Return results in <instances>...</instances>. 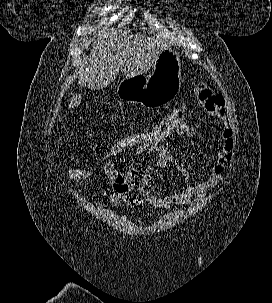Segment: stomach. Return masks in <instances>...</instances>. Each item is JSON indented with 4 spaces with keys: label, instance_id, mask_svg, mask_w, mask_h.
<instances>
[{
    "label": "stomach",
    "instance_id": "obj_1",
    "mask_svg": "<svg viewBox=\"0 0 272 303\" xmlns=\"http://www.w3.org/2000/svg\"><path fill=\"white\" fill-rule=\"evenodd\" d=\"M180 88V57L174 49L167 47L160 53L150 75L122 80L118 85L117 94L128 102L153 108L175 98Z\"/></svg>",
    "mask_w": 272,
    "mask_h": 303
}]
</instances>
